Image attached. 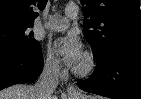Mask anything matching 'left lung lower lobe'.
<instances>
[{"instance_id": "obj_1", "label": "left lung lower lobe", "mask_w": 141, "mask_h": 99, "mask_svg": "<svg viewBox=\"0 0 141 99\" xmlns=\"http://www.w3.org/2000/svg\"><path fill=\"white\" fill-rule=\"evenodd\" d=\"M92 76L80 89L113 99H141V48L117 47L95 58Z\"/></svg>"}]
</instances>
